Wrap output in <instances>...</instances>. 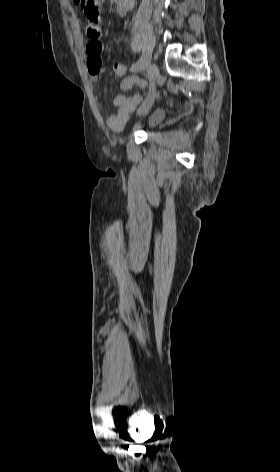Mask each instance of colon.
Listing matches in <instances>:
<instances>
[{
    "label": "colon",
    "mask_w": 280,
    "mask_h": 472,
    "mask_svg": "<svg viewBox=\"0 0 280 472\" xmlns=\"http://www.w3.org/2000/svg\"><path fill=\"white\" fill-rule=\"evenodd\" d=\"M75 5L81 8L86 18L90 21H99L100 0H72ZM115 74L118 77L127 75L128 69L126 65L116 64L114 67Z\"/></svg>",
    "instance_id": "1"
}]
</instances>
